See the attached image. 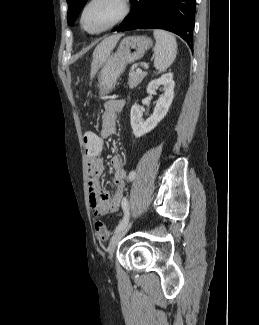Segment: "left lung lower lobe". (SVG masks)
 Listing matches in <instances>:
<instances>
[{
	"label": "left lung lower lobe",
	"instance_id": "1",
	"mask_svg": "<svg viewBox=\"0 0 259 325\" xmlns=\"http://www.w3.org/2000/svg\"><path fill=\"white\" fill-rule=\"evenodd\" d=\"M132 8L113 31L158 28L182 37L193 48L196 0H130Z\"/></svg>",
	"mask_w": 259,
	"mask_h": 325
}]
</instances>
